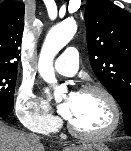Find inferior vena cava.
<instances>
[{
  "label": "inferior vena cava",
  "mask_w": 131,
  "mask_h": 151,
  "mask_svg": "<svg viewBox=\"0 0 131 151\" xmlns=\"http://www.w3.org/2000/svg\"><path fill=\"white\" fill-rule=\"evenodd\" d=\"M30 136H31L32 138H34V139H37V136L34 135V134H30Z\"/></svg>",
  "instance_id": "obj_1"
}]
</instances>
